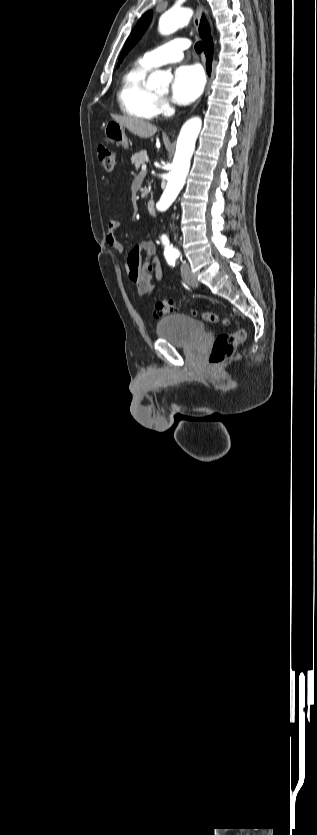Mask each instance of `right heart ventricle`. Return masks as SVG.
<instances>
[{
    "label": "right heart ventricle",
    "mask_w": 317,
    "mask_h": 835,
    "mask_svg": "<svg viewBox=\"0 0 317 835\" xmlns=\"http://www.w3.org/2000/svg\"><path fill=\"white\" fill-rule=\"evenodd\" d=\"M150 69V66L139 59L121 79L117 98L122 112L130 117L150 120L158 114L159 96L146 85Z\"/></svg>",
    "instance_id": "1"
}]
</instances>
